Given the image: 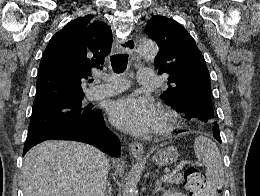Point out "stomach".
<instances>
[{"instance_id":"1","label":"stomach","mask_w":260,"mask_h":196,"mask_svg":"<svg viewBox=\"0 0 260 196\" xmlns=\"http://www.w3.org/2000/svg\"><path fill=\"white\" fill-rule=\"evenodd\" d=\"M178 158L177 148H175V146H166V148L155 150L152 160L157 166H171V164L177 162Z\"/></svg>"}]
</instances>
